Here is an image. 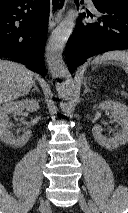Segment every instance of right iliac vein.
Instances as JSON below:
<instances>
[{
  "mask_svg": "<svg viewBox=\"0 0 128 213\" xmlns=\"http://www.w3.org/2000/svg\"><path fill=\"white\" fill-rule=\"evenodd\" d=\"M47 204V201H42L41 206H44Z\"/></svg>",
  "mask_w": 128,
  "mask_h": 213,
  "instance_id": "right-iliac-vein-1",
  "label": "right iliac vein"
}]
</instances>
